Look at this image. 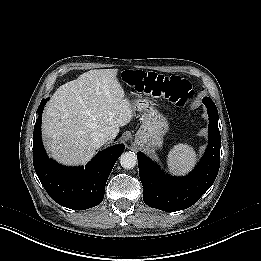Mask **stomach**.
I'll use <instances>...</instances> for the list:
<instances>
[{"instance_id":"0dacf381","label":"stomach","mask_w":261,"mask_h":261,"mask_svg":"<svg viewBox=\"0 0 261 261\" xmlns=\"http://www.w3.org/2000/svg\"><path fill=\"white\" fill-rule=\"evenodd\" d=\"M133 111L141 113L142 124L135 135V142L145 151L162 147L163 137L168 132L167 118L148 100L137 99L132 103Z\"/></svg>"}]
</instances>
